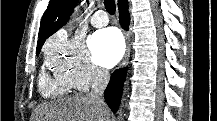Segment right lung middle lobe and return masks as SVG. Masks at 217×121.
Returning a JSON list of instances; mask_svg holds the SVG:
<instances>
[{
  "instance_id": "obj_1",
  "label": "right lung middle lobe",
  "mask_w": 217,
  "mask_h": 121,
  "mask_svg": "<svg viewBox=\"0 0 217 121\" xmlns=\"http://www.w3.org/2000/svg\"><path fill=\"white\" fill-rule=\"evenodd\" d=\"M39 52H40V51H37V52H36V53H37V55L39 54Z\"/></svg>"
}]
</instances>
